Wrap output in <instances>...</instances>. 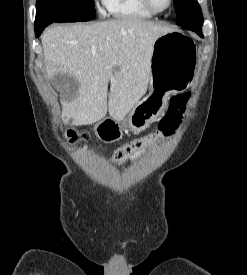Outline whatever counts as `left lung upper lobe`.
Wrapping results in <instances>:
<instances>
[{
	"label": "left lung upper lobe",
	"mask_w": 247,
	"mask_h": 275,
	"mask_svg": "<svg viewBox=\"0 0 247 275\" xmlns=\"http://www.w3.org/2000/svg\"><path fill=\"white\" fill-rule=\"evenodd\" d=\"M177 25L183 29L201 30L203 15L197 0H174Z\"/></svg>",
	"instance_id": "left-lung-upper-lobe-1"
}]
</instances>
